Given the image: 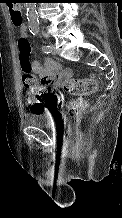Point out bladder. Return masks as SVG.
<instances>
[{
  "instance_id": "1",
  "label": "bladder",
  "mask_w": 122,
  "mask_h": 218,
  "mask_svg": "<svg viewBox=\"0 0 122 218\" xmlns=\"http://www.w3.org/2000/svg\"><path fill=\"white\" fill-rule=\"evenodd\" d=\"M26 122L31 125L46 126L49 119L43 112H34L26 116Z\"/></svg>"
}]
</instances>
